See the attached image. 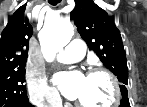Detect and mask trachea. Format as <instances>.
<instances>
[{
    "label": "trachea",
    "mask_w": 147,
    "mask_h": 107,
    "mask_svg": "<svg viewBox=\"0 0 147 107\" xmlns=\"http://www.w3.org/2000/svg\"><path fill=\"white\" fill-rule=\"evenodd\" d=\"M48 2H49V4L55 6V5H57L58 3H60L61 0H49Z\"/></svg>",
    "instance_id": "obj_1"
}]
</instances>
